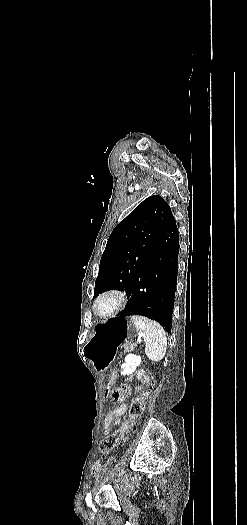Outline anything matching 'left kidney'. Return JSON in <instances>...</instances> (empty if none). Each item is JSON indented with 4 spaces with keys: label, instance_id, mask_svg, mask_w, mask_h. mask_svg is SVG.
Instances as JSON below:
<instances>
[{
    "label": "left kidney",
    "instance_id": "5707ae66",
    "mask_svg": "<svg viewBox=\"0 0 247 525\" xmlns=\"http://www.w3.org/2000/svg\"><path fill=\"white\" fill-rule=\"evenodd\" d=\"M140 363L141 357H137V355H127L124 365H121L122 369H124L123 375H132Z\"/></svg>",
    "mask_w": 247,
    "mask_h": 525
}]
</instances>
